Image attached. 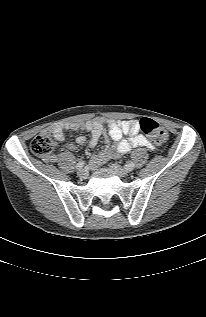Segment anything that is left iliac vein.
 I'll use <instances>...</instances> for the list:
<instances>
[{"mask_svg": "<svg viewBox=\"0 0 206 317\" xmlns=\"http://www.w3.org/2000/svg\"><path fill=\"white\" fill-rule=\"evenodd\" d=\"M111 169L120 177H126L129 174L127 169L122 168L118 164H111Z\"/></svg>", "mask_w": 206, "mask_h": 317, "instance_id": "1", "label": "left iliac vein"}]
</instances>
